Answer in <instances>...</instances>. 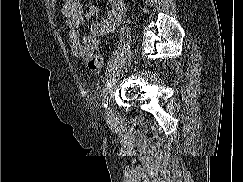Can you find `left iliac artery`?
<instances>
[{
  "instance_id": "44dca946",
  "label": "left iliac artery",
  "mask_w": 243,
  "mask_h": 182,
  "mask_svg": "<svg viewBox=\"0 0 243 182\" xmlns=\"http://www.w3.org/2000/svg\"><path fill=\"white\" fill-rule=\"evenodd\" d=\"M107 94H108V92H107V90L105 89L104 91H103V93H102V105H103V107L106 109L107 108V101H106V99H107Z\"/></svg>"
}]
</instances>
